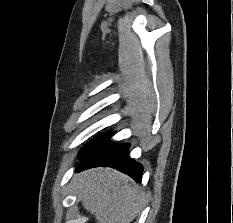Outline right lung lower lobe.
Wrapping results in <instances>:
<instances>
[{
    "instance_id": "right-lung-lower-lobe-1",
    "label": "right lung lower lobe",
    "mask_w": 233,
    "mask_h": 223,
    "mask_svg": "<svg viewBox=\"0 0 233 223\" xmlns=\"http://www.w3.org/2000/svg\"><path fill=\"white\" fill-rule=\"evenodd\" d=\"M113 133L107 135L102 142L94 146L77 167V172L87 168L108 166L128 174L136 182H140L143 168L141 164L131 161L127 156L128 144H114L106 146V141Z\"/></svg>"
}]
</instances>
